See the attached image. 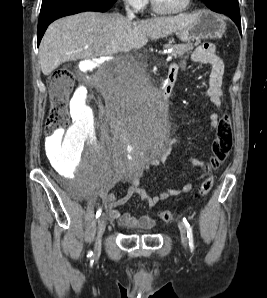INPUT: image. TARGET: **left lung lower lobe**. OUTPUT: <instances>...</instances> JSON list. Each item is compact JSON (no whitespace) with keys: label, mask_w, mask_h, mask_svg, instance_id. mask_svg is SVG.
<instances>
[{"label":"left lung lower lobe","mask_w":267,"mask_h":298,"mask_svg":"<svg viewBox=\"0 0 267 298\" xmlns=\"http://www.w3.org/2000/svg\"><path fill=\"white\" fill-rule=\"evenodd\" d=\"M218 13H223L225 15H228L238 26L239 30L241 31V20H240V11H239V5H231L227 8H218L217 11Z\"/></svg>","instance_id":"0a47b994"}]
</instances>
